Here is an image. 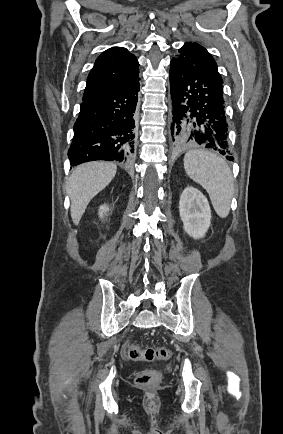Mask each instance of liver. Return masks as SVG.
<instances>
[{
  "label": "liver",
  "instance_id": "6515ba94",
  "mask_svg": "<svg viewBox=\"0 0 283 434\" xmlns=\"http://www.w3.org/2000/svg\"><path fill=\"white\" fill-rule=\"evenodd\" d=\"M113 163L89 162L78 166L70 175L66 191L71 200V218L77 225L89 202L102 191L116 175Z\"/></svg>",
  "mask_w": 283,
  "mask_h": 434
}]
</instances>
